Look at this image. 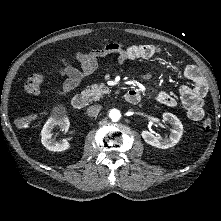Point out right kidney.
I'll return each instance as SVG.
<instances>
[{
	"mask_svg": "<svg viewBox=\"0 0 221 221\" xmlns=\"http://www.w3.org/2000/svg\"><path fill=\"white\" fill-rule=\"evenodd\" d=\"M55 126H59L66 132L69 128V121L67 119H49L41 131V142L48 150L54 152L65 151L70 148V144L65 139L58 142L52 138L51 132Z\"/></svg>",
	"mask_w": 221,
	"mask_h": 221,
	"instance_id": "right-kidney-1",
	"label": "right kidney"
}]
</instances>
